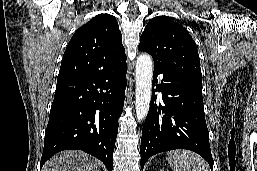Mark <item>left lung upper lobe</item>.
<instances>
[{
    "label": "left lung upper lobe",
    "instance_id": "1",
    "mask_svg": "<svg viewBox=\"0 0 257 171\" xmlns=\"http://www.w3.org/2000/svg\"><path fill=\"white\" fill-rule=\"evenodd\" d=\"M139 50L148 52L154 64L183 72L202 84L196 43L188 31L170 17L159 16L150 20L141 35Z\"/></svg>",
    "mask_w": 257,
    "mask_h": 171
}]
</instances>
